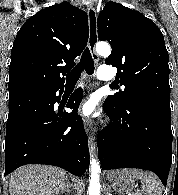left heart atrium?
<instances>
[{
	"label": "left heart atrium",
	"instance_id": "left-heart-atrium-1",
	"mask_svg": "<svg viewBox=\"0 0 178 195\" xmlns=\"http://www.w3.org/2000/svg\"><path fill=\"white\" fill-rule=\"evenodd\" d=\"M80 113L85 117L96 116V103L93 99H88L80 107Z\"/></svg>",
	"mask_w": 178,
	"mask_h": 195
}]
</instances>
